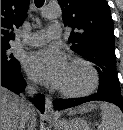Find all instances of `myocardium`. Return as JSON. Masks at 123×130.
<instances>
[{"label": "myocardium", "instance_id": "obj_1", "mask_svg": "<svg viewBox=\"0 0 123 130\" xmlns=\"http://www.w3.org/2000/svg\"><path fill=\"white\" fill-rule=\"evenodd\" d=\"M71 65H80L84 67L90 73V83L87 87L79 90L66 89L60 86H57V91L64 97L67 98H81L91 95L99 86V74L97 69L92 63L86 59L80 57L71 58L69 61Z\"/></svg>", "mask_w": 123, "mask_h": 130}]
</instances>
